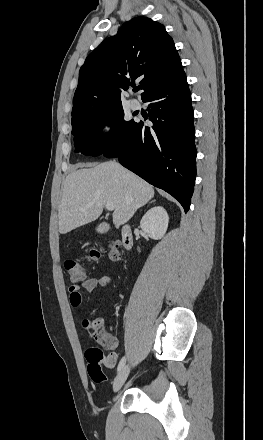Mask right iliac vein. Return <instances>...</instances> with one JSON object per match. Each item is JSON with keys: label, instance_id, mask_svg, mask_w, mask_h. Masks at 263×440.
I'll list each match as a JSON object with an SVG mask.
<instances>
[{"label": "right iliac vein", "instance_id": "obj_1", "mask_svg": "<svg viewBox=\"0 0 263 440\" xmlns=\"http://www.w3.org/2000/svg\"><path fill=\"white\" fill-rule=\"evenodd\" d=\"M130 372V366L129 365H125L117 374V376L115 377L114 381H113V391L116 393L118 392L121 387L123 386V384L125 383L128 375Z\"/></svg>", "mask_w": 263, "mask_h": 440}]
</instances>
